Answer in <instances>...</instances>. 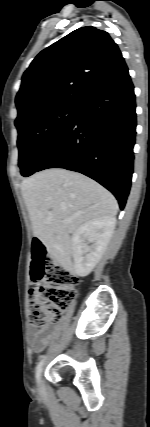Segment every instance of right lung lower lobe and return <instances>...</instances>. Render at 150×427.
<instances>
[{"instance_id": "obj_1", "label": "right lung lower lobe", "mask_w": 150, "mask_h": 427, "mask_svg": "<svg viewBox=\"0 0 150 427\" xmlns=\"http://www.w3.org/2000/svg\"><path fill=\"white\" fill-rule=\"evenodd\" d=\"M135 108L127 69L78 105L69 127L35 172L65 168L85 174L111 191L123 209L133 173Z\"/></svg>"}]
</instances>
